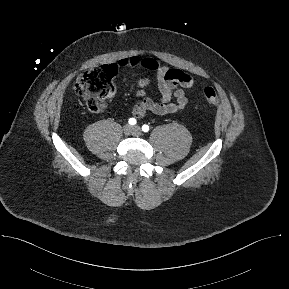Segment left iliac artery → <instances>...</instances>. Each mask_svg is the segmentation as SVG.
I'll return each mask as SVG.
<instances>
[{
	"instance_id": "44dca946",
	"label": "left iliac artery",
	"mask_w": 289,
	"mask_h": 289,
	"mask_svg": "<svg viewBox=\"0 0 289 289\" xmlns=\"http://www.w3.org/2000/svg\"><path fill=\"white\" fill-rule=\"evenodd\" d=\"M142 131H143V132H148V131H149V126L146 125V124H144V125L142 126Z\"/></svg>"
}]
</instances>
